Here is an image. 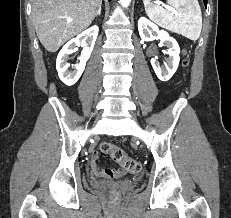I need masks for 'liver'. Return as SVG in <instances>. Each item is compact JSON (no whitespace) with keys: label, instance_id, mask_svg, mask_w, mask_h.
<instances>
[{"label":"liver","instance_id":"6515ba94","mask_svg":"<svg viewBox=\"0 0 231 218\" xmlns=\"http://www.w3.org/2000/svg\"><path fill=\"white\" fill-rule=\"evenodd\" d=\"M32 21L37 36L49 52L92 23L102 0H31Z\"/></svg>","mask_w":231,"mask_h":218}]
</instances>
